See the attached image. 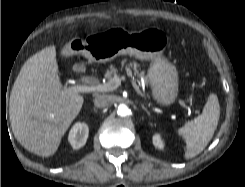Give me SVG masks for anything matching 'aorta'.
<instances>
[{"instance_id": "aorta-1", "label": "aorta", "mask_w": 245, "mask_h": 187, "mask_svg": "<svg viewBox=\"0 0 245 187\" xmlns=\"http://www.w3.org/2000/svg\"><path fill=\"white\" fill-rule=\"evenodd\" d=\"M117 114L119 116H127L129 114V108L125 104H120L117 109Z\"/></svg>"}]
</instances>
